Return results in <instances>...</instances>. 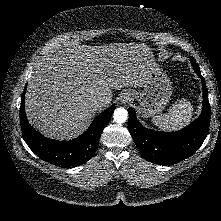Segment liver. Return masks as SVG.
I'll return each instance as SVG.
<instances>
[{
  "label": "liver",
  "mask_w": 221,
  "mask_h": 221,
  "mask_svg": "<svg viewBox=\"0 0 221 221\" xmlns=\"http://www.w3.org/2000/svg\"><path fill=\"white\" fill-rule=\"evenodd\" d=\"M157 67L150 47L143 43L61 49L32 72L25 96L26 116L47 137L75 138L99 109L97 99L105 98L103 107H107L112 89L140 88Z\"/></svg>",
  "instance_id": "6515ba94"
}]
</instances>
